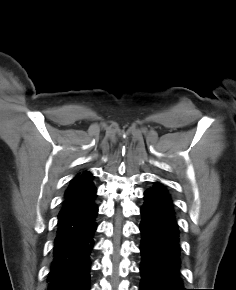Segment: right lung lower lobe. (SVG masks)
I'll return each mask as SVG.
<instances>
[{
    "instance_id": "obj_1",
    "label": "right lung lower lobe",
    "mask_w": 236,
    "mask_h": 290,
    "mask_svg": "<svg viewBox=\"0 0 236 290\" xmlns=\"http://www.w3.org/2000/svg\"><path fill=\"white\" fill-rule=\"evenodd\" d=\"M95 197L80 208L59 214L48 290H90V256L98 212Z\"/></svg>"
}]
</instances>
